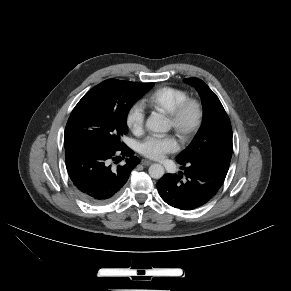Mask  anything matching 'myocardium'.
Masks as SVG:
<instances>
[{
	"mask_svg": "<svg viewBox=\"0 0 291 291\" xmlns=\"http://www.w3.org/2000/svg\"><path fill=\"white\" fill-rule=\"evenodd\" d=\"M193 110L194 119L189 127L182 124L187 111ZM168 118L172 123V128L179 135L183 142H189L200 129L204 119V107L200 100L196 98H187L179 103L169 114Z\"/></svg>",
	"mask_w": 291,
	"mask_h": 291,
	"instance_id": "myocardium-1",
	"label": "myocardium"
}]
</instances>
